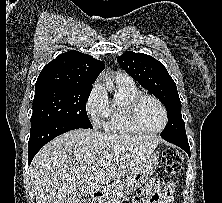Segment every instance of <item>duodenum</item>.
<instances>
[{
    "instance_id": "obj_1",
    "label": "duodenum",
    "mask_w": 222,
    "mask_h": 203,
    "mask_svg": "<svg viewBox=\"0 0 222 203\" xmlns=\"http://www.w3.org/2000/svg\"><path fill=\"white\" fill-rule=\"evenodd\" d=\"M106 192L104 189H96L95 191L92 192V200L95 203H101L103 199L105 198Z\"/></svg>"
}]
</instances>
